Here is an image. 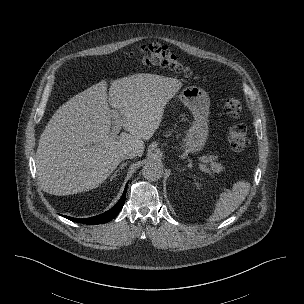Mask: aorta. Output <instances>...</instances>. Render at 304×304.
<instances>
[{
	"mask_svg": "<svg viewBox=\"0 0 304 304\" xmlns=\"http://www.w3.org/2000/svg\"><path fill=\"white\" fill-rule=\"evenodd\" d=\"M142 174L148 181H156L162 177V164L158 161L150 160L143 166Z\"/></svg>",
	"mask_w": 304,
	"mask_h": 304,
	"instance_id": "obj_1",
	"label": "aorta"
}]
</instances>
